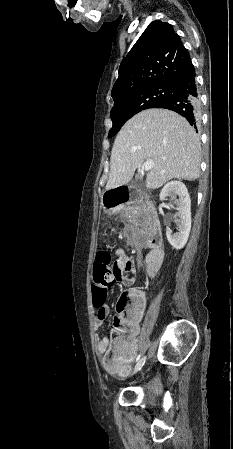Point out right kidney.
I'll use <instances>...</instances> for the list:
<instances>
[{
    "label": "right kidney",
    "mask_w": 233,
    "mask_h": 449,
    "mask_svg": "<svg viewBox=\"0 0 233 449\" xmlns=\"http://www.w3.org/2000/svg\"><path fill=\"white\" fill-rule=\"evenodd\" d=\"M166 197L174 200L178 210L176 215L179 218L176 220L178 232L172 234L167 230L166 236L171 246L179 250L187 243L191 230V200L186 186L180 181H171L163 187L160 199L163 201Z\"/></svg>",
    "instance_id": "ca27d5eb"
}]
</instances>
